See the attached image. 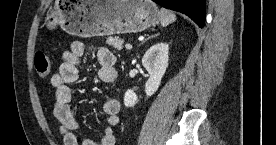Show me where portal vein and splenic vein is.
Wrapping results in <instances>:
<instances>
[{
  "mask_svg": "<svg viewBox=\"0 0 276 145\" xmlns=\"http://www.w3.org/2000/svg\"><path fill=\"white\" fill-rule=\"evenodd\" d=\"M125 48L128 49V50H131V49H132V45L126 44V45H125Z\"/></svg>",
  "mask_w": 276,
  "mask_h": 145,
  "instance_id": "1",
  "label": "portal vein and splenic vein"
}]
</instances>
